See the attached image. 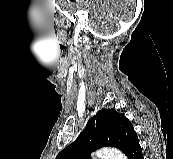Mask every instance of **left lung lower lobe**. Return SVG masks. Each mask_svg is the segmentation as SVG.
Wrapping results in <instances>:
<instances>
[{"mask_svg":"<svg viewBox=\"0 0 173 159\" xmlns=\"http://www.w3.org/2000/svg\"><path fill=\"white\" fill-rule=\"evenodd\" d=\"M128 159H144L142 154V149L138 144H136L127 154Z\"/></svg>","mask_w":173,"mask_h":159,"instance_id":"1","label":"left lung lower lobe"}]
</instances>
